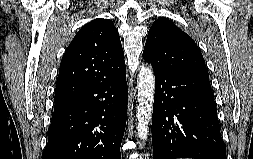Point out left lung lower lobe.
<instances>
[{"label": "left lung lower lobe", "instance_id": "1", "mask_svg": "<svg viewBox=\"0 0 253 159\" xmlns=\"http://www.w3.org/2000/svg\"><path fill=\"white\" fill-rule=\"evenodd\" d=\"M154 72L153 159H226L209 77Z\"/></svg>", "mask_w": 253, "mask_h": 159}]
</instances>
